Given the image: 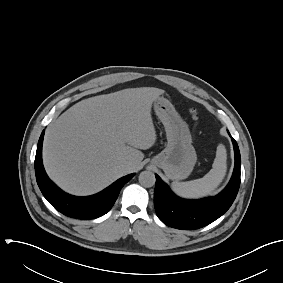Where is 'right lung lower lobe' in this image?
I'll use <instances>...</instances> for the list:
<instances>
[{
	"instance_id": "obj_1",
	"label": "right lung lower lobe",
	"mask_w": 283,
	"mask_h": 283,
	"mask_svg": "<svg viewBox=\"0 0 283 283\" xmlns=\"http://www.w3.org/2000/svg\"><path fill=\"white\" fill-rule=\"evenodd\" d=\"M42 132L35 157V174L44 197L62 214L77 219H94L106 214L115 203L121 188L135 174H129L114 182L103 191L87 197L69 195L58 188L47 176L42 163Z\"/></svg>"
}]
</instances>
